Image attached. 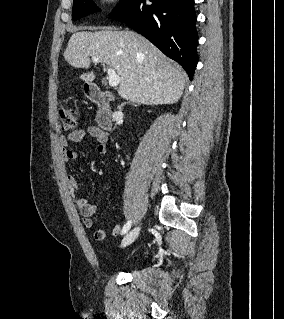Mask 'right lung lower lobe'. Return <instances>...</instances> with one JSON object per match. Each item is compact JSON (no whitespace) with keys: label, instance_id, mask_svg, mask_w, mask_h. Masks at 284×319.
<instances>
[{"label":"right lung lower lobe","instance_id":"1","mask_svg":"<svg viewBox=\"0 0 284 319\" xmlns=\"http://www.w3.org/2000/svg\"><path fill=\"white\" fill-rule=\"evenodd\" d=\"M131 0L109 16L146 37L166 56L180 63L190 80L198 59L194 0Z\"/></svg>","mask_w":284,"mask_h":319}]
</instances>
